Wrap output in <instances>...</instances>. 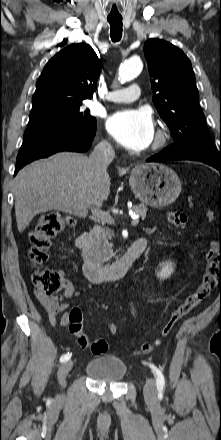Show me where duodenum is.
I'll return each instance as SVG.
<instances>
[{
    "instance_id": "duodenum-1",
    "label": "duodenum",
    "mask_w": 221,
    "mask_h": 440,
    "mask_svg": "<svg viewBox=\"0 0 221 440\" xmlns=\"http://www.w3.org/2000/svg\"><path fill=\"white\" fill-rule=\"evenodd\" d=\"M88 238V232L82 231L76 238V246L83 248ZM145 247L146 240L139 238L131 244L121 258L108 265H100L95 261L87 260L82 266L83 274L91 282L118 280L131 270Z\"/></svg>"
}]
</instances>
